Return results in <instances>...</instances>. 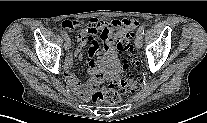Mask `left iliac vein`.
I'll use <instances>...</instances> for the list:
<instances>
[{"mask_svg": "<svg viewBox=\"0 0 207 123\" xmlns=\"http://www.w3.org/2000/svg\"><path fill=\"white\" fill-rule=\"evenodd\" d=\"M135 45L138 49L142 47V35L138 34L135 37Z\"/></svg>", "mask_w": 207, "mask_h": 123, "instance_id": "1", "label": "left iliac vein"}]
</instances>
